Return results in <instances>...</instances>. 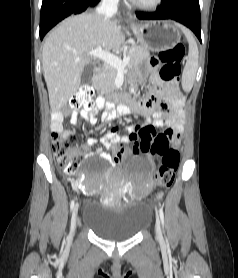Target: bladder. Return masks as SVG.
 Returning <instances> with one entry per match:
<instances>
[{
    "label": "bladder",
    "instance_id": "obj_1",
    "mask_svg": "<svg viewBox=\"0 0 238 278\" xmlns=\"http://www.w3.org/2000/svg\"><path fill=\"white\" fill-rule=\"evenodd\" d=\"M152 219L149 204L132 201L119 208L97 204L83 205L81 223L95 236L106 241H126L144 231Z\"/></svg>",
    "mask_w": 238,
    "mask_h": 278
}]
</instances>
